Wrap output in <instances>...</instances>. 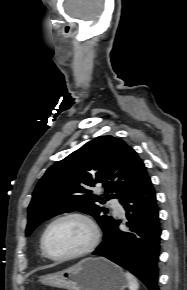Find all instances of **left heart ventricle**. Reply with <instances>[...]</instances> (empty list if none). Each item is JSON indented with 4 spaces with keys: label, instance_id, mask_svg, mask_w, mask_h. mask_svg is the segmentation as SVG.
Here are the masks:
<instances>
[{
    "label": "left heart ventricle",
    "instance_id": "b2bd125f",
    "mask_svg": "<svg viewBox=\"0 0 187 290\" xmlns=\"http://www.w3.org/2000/svg\"><path fill=\"white\" fill-rule=\"evenodd\" d=\"M91 234L82 221L66 219L55 224L49 232L47 246L54 256H62L83 249Z\"/></svg>",
    "mask_w": 187,
    "mask_h": 290
}]
</instances>
